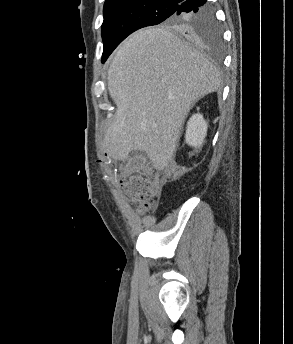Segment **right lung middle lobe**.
<instances>
[{
	"instance_id": "obj_1",
	"label": "right lung middle lobe",
	"mask_w": 293,
	"mask_h": 344,
	"mask_svg": "<svg viewBox=\"0 0 293 344\" xmlns=\"http://www.w3.org/2000/svg\"><path fill=\"white\" fill-rule=\"evenodd\" d=\"M178 4L157 1H126L104 4L102 63L132 32L146 26L166 23L192 41L212 49L221 47V30L212 8L207 12L176 14Z\"/></svg>"
}]
</instances>
